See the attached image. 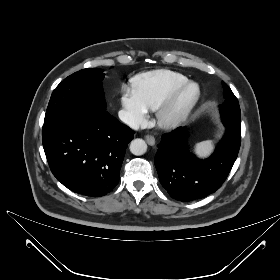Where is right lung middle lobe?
Masks as SVG:
<instances>
[{
	"instance_id": "right-lung-middle-lobe-1",
	"label": "right lung middle lobe",
	"mask_w": 280,
	"mask_h": 280,
	"mask_svg": "<svg viewBox=\"0 0 280 280\" xmlns=\"http://www.w3.org/2000/svg\"><path fill=\"white\" fill-rule=\"evenodd\" d=\"M103 70L87 68L64 79L53 91L45 119L63 111L100 113L106 111Z\"/></svg>"
}]
</instances>
